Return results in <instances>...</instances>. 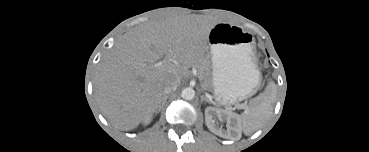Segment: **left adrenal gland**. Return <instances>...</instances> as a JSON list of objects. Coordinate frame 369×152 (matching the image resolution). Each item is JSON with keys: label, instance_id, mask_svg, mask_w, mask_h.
I'll list each match as a JSON object with an SVG mask.
<instances>
[{"label": "left adrenal gland", "instance_id": "left-adrenal-gland-1", "mask_svg": "<svg viewBox=\"0 0 369 152\" xmlns=\"http://www.w3.org/2000/svg\"><path fill=\"white\" fill-rule=\"evenodd\" d=\"M201 101H205V102H208L210 103V101L204 96V95H201Z\"/></svg>", "mask_w": 369, "mask_h": 152}]
</instances>
